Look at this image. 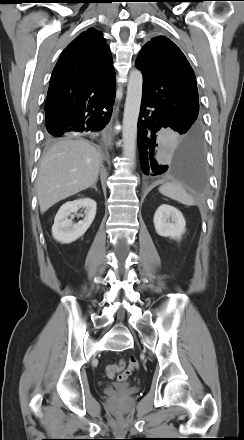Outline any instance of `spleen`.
I'll list each match as a JSON object with an SVG mask.
<instances>
[{"mask_svg":"<svg viewBox=\"0 0 244 440\" xmlns=\"http://www.w3.org/2000/svg\"><path fill=\"white\" fill-rule=\"evenodd\" d=\"M159 192L162 195L176 200L184 205H195V201L192 196L189 195L182 185L177 182L164 183L159 187Z\"/></svg>","mask_w":244,"mask_h":440,"instance_id":"3e777b00","label":"spleen"}]
</instances>
